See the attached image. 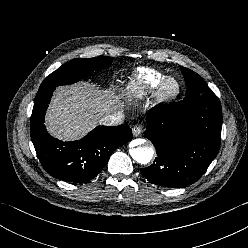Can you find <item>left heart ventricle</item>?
I'll return each mask as SVG.
<instances>
[{
  "mask_svg": "<svg viewBox=\"0 0 248 248\" xmlns=\"http://www.w3.org/2000/svg\"><path fill=\"white\" fill-rule=\"evenodd\" d=\"M174 88H175V84L173 82H171V83H169L167 85V88L166 89H167L168 92H171V91L174 90Z\"/></svg>",
  "mask_w": 248,
  "mask_h": 248,
  "instance_id": "left-heart-ventricle-1",
  "label": "left heart ventricle"
}]
</instances>
